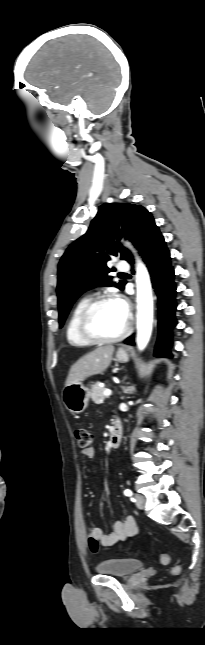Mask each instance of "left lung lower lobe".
<instances>
[{"instance_id":"0a47b994","label":"left lung lower lobe","mask_w":205,"mask_h":645,"mask_svg":"<svg viewBox=\"0 0 205 645\" xmlns=\"http://www.w3.org/2000/svg\"><path fill=\"white\" fill-rule=\"evenodd\" d=\"M139 253L147 264L153 288L158 297L159 311V338L155 347L156 356L171 357L168 350L171 339V329L176 325L174 312L176 310V285L174 283V269L170 263V252L166 242L156 224H153L139 244ZM129 263H133L131 260ZM126 344L134 345V340L129 337Z\"/></svg>"}]
</instances>
